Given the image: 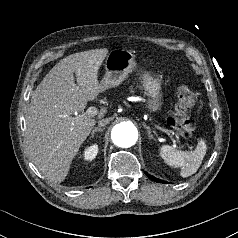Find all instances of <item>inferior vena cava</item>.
Returning a JSON list of instances; mask_svg holds the SVG:
<instances>
[{"label":"inferior vena cava","mask_w":238,"mask_h":238,"mask_svg":"<svg viewBox=\"0 0 238 238\" xmlns=\"http://www.w3.org/2000/svg\"><path fill=\"white\" fill-rule=\"evenodd\" d=\"M109 121H110L109 118L101 119V120L98 121V126L103 127V126H105L106 124H108Z\"/></svg>","instance_id":"inferior-vena-cava-1"}]
</instances>
